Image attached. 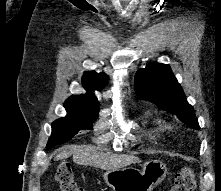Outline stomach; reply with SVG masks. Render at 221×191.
<instances>
[{
  "instance_id": "1",
  "label": "stomach",
  "mask_w": 221,
  "mask_h": 191,
  "mask_svg": "<svg viewBox=\"0 0 221 191\" xmlns=\"http://www.w3.org/2000/svg\"><path fill=\"white\" fill-rule=\"evenodd\" d=\"M167 174L165 164L151 160L143 165L142 170L133 167L107 170L103 177L114 191H152Z\"/></svg>"
}]
</instances>
